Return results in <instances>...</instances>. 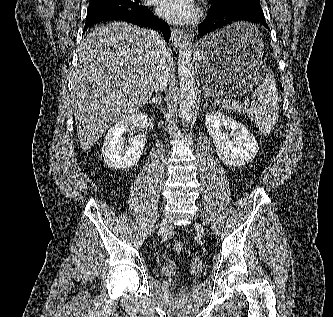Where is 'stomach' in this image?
Returning a JSON list of instances; mask_svg holds the SVG:
<instances>
[{
	"label": "stomach",
	"mask_w": 333,
	"mask_h": 317,
	"mask_svg": "<svg viewBox=\"0 0 333 317\" xmlns=\"http://www.w3.org/2000/svg\"><path fill=\"white\" fill-rule=\"evenodd\" d=\"M263 41L257 24L238 22L207 33L198 50L200 88L209 95L234 98L259 82H270L264 71Z\"/></svg>",
	"instance_id": "0dacf381"
}]
</instances>
